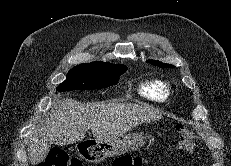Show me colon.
Wrapping results in <instances>:
<instances>
[{"instance_id": "colon-1", "label": "colon", "mask_w": 231, "mask_h": 166, "mask_svg": "<svg viewBox=\"0 0 231 166\" xmlns=\"http://www.w3.org/2000/svg\"><path fill=\"white\" fill-rule=\"evenodd\" d=\"M179 147L182 151L190 152L198 144V138L191 132L180 129ZM145 159L139 156L122 155L114 159L112 166H144ZM39 166H83L77 158L60 148H52L46 159Z\"/></svg>"}]
</instances>
